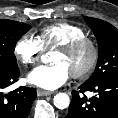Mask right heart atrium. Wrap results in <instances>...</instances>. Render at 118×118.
<instances>
[{
    "mask_svg": "<svg viewBox=\"0 0 118 118\" xmlns=\"http://www.w3.org/2000/svg\"><path fill=\"white\" fill-rule=\"evenodd\" d=\"M43 53V47L34 35L23 34L15 43V58L24 65L36 64Z\"/></svg>",
    "mask_w": 118,
    "mask_h": 118,
    "instance_id": "d8ad5b80",
    "label": "right heart atrium"
}]
</instances>
